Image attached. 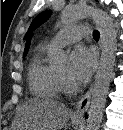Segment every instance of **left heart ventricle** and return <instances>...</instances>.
<instances>
[{"mask_svg": "<svg viewBox=\"0 0 123 130\" xmlns=\"http://www.w3.org/2000/svg\"><path fill=\"white\" fill-rule=\"evenodd\" d=\"M59 73H60L61 75H63V76H66L67 73H68V69H67V68H62V69L59 70Z\"/></svg>", "mask_w": 123, "mask_h": 130, "instance_id": "obj_1", "label": "left heart ventricle"}]
</instances>
